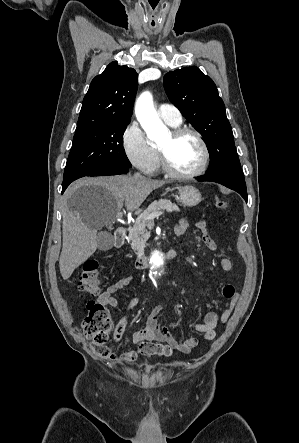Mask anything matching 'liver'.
I'll return each mask as SVG.
<instances>
[{"mask_svg": "<svg viewBox=\"0 0 299 443\" xmlns=\"http://www.w3.org/2000/svg\"><path fill=\"white\" fill-rule=\"evenodd\" d=\"M164 184L160 180L120 175L85 178L70 187L62 210L63 245L59 267L63 279L67 280L93 255L98 248L97 230L111 224L124 203L127 211H134L153 190ZM81 187H84L85 198L75 202L73 196Z\"/></svg>", "mask_w": 299, "mask_h": 443, "instance_id": "obj_1", "label": "liver"}]
</instances>
